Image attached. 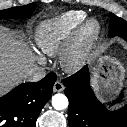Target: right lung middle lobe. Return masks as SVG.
<instances>
[{
	"label": "right lung middle lobe",
	"instance_id": "dd1d6c3e",
	"mask_svg": "<svg viewBox=\"0 0 127 127\" xmlns=\"http://www.w3.org/2000/svg\"><path fill=\"white\" fill-rule=\"evenodd\" d=\"M36 8L35 3L25 6L13 7L0 11V19L23 18L31 14Z\"/></svg>",
	"mask_w": 127,
	"mask_h": 127
}]
</instances>
